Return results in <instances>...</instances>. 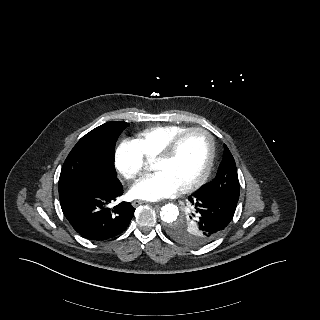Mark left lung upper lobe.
Wrapping results in <instances>:
<instances>
[{
  "label": "left lung upper lobe",
  "mask_w": 320,
  "mask_h": 320,
  "mask_svg": "<svg viewBox=\"0 0 320 320\" xmlns=\"http://www.w3.org/2000/svg\"><path fill=\"white\" fill-rule=\"evenodd\" d=\"M206 194L220 196L238 202L240 185L234 158L224 145L223 159L215 178L200 188ZM190 211L181 219L168 226V234L176 241L190 246L208 243L204 236L201 220L195 206L191 203Z\"/></svg>",
  "instance_id": "5c2ea615"
}]
</instances>
